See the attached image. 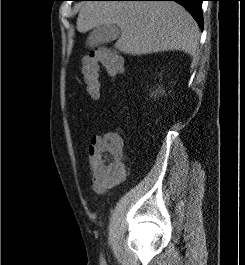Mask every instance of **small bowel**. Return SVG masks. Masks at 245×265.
Instances as JSON below:
<instances>
[{"label": "small bowel", "mask_w": 245, "mask_h": 265, "mask_svg": "<svg viewBox=\"0 0 245 265\" xmlns=\"http://www.w3.org/2000/svg\"><path fill=\"white\" fill-rule=\"evenodd\" d=\"M108 136V134L104 136H93L90 145L88 146L87 153L90 161V184L93 191L98 195H106L112 190L115 186H117L120 179L110 180L102 175L98 170H96L93 166V156L97 149L103 144L104 139Z\"/></svg>", "instance_id": "1"}]
</instances>
